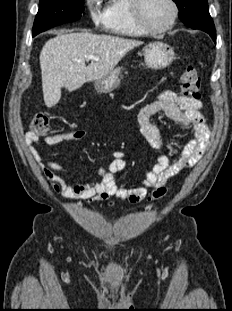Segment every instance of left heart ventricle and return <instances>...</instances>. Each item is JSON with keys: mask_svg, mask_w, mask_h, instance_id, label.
I'll return each instance as SVG.
<instances>
[{"mask_svg": "<svg viewBox=\"0 0 232 311\" xmlns=\"http://www.w3.org/2000/svg\"><path fill=\"white\" fill-rule=\"evenodd\" d=\"M142 15L149 26L163 27L172 17V7L168 0H143Z\"/></svg>", "mask_w": 232, "mask_h": 311, "instance_id": "b2bd125f", "label": "left heart ventricle"}]
</instances>
